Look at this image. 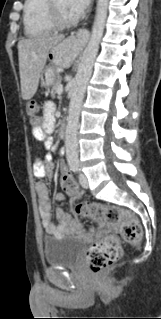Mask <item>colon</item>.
<instances>
[{"label":"colon","mask_w":161,"mask_h":319,"mask_svg":"<svg viewBox=\"0 0 161 319\" xmlns=\"http://www.w3.org/2000/svg\"><path fill=\"white\" fill-rule=\"evenodd\" d=\"M26 114L37 127H41V108L39 104L29 103L26 108ZM61 183L66 190H71L75 187L66 176L62 178ZM77 212L95 221L105 220L110 224L118 225L122 239L126 243L137 244L142 238L138 219L127 214L118 205L81 203L77 206ZM121 256L122 248L119 237L110 235L92 244L86 252L85 259L92 274L99 277L105 270L114 266Z\"/></svg>","instance_id":"colon-1"}]
</instances>
